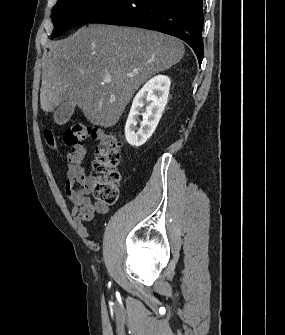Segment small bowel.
<instances>
[{
    "instance_id": "obj_1",
    "label": "small bowel",
    "mask_w": 285,
    "mask_h": 335,
    "mask_svg": "<svg viewBox=\"0 0 285 335\" xmlns=\"http://www.w3.org/2000/svg\"><path fill=\"white\" fill-rule=\"evenodd\" d=\"M91 178L80 165H69L65 191L72 202L71 215L79 233L87 237L88 229L85 223L93 220L96 213L105 214L109 211L107 205L94 202L91 195Z\"/></svg>"
}]
</instances>
